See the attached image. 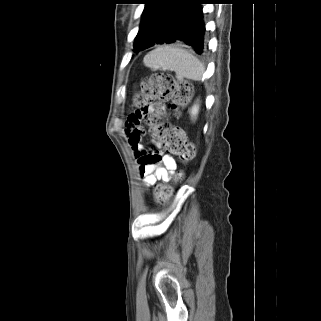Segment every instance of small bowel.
Wrapping results in <instances>:
<instances>
[{"label": "small bowel", "mask_w": 321, "mask_h": 321, "mask_svg": "<svg viewBox=\"0 0 321 321\" xmlns=\"http://www.w3.org/2000/svg\"><path fill=\"white\" fill-rule=\"evenodd\" d=\"M161 116H166L165 107L161 104L151 105L146 109H138L131 113L126 122L128 142L146 186L153 185L160 180L168 181L170 174L176 169L174 158L163 154L159 150L160 145L155 140L156 149L148 150L142 143V138L145 135L142 123L147 122L150 125L149 132L152 136V122Z\"/></svg>", "instance_id": "obj_1"}]
</instances>
